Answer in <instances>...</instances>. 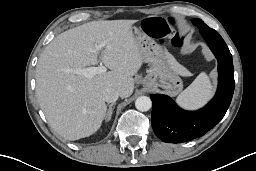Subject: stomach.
Returning <instances> with one entry per match:
<instances>
[{"label": "stomach", "instance_id": "1", "mask_svg": "<svg viewBox=\"0 0 256 171\" xmlns=\"http://www.w3.org/2000/svg\"><path fill=\"white\" fill-rule=\"evenodd\" d=\"M131 30L142 52L143 61L149 64L143 85L149 89L161 87L169 95L176 96L183 84L175 70L173 56L141 28L132 26Z\"/></svg>", "mask_w": 256, "mask_h": 171}]
</instances>
